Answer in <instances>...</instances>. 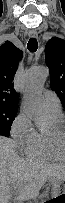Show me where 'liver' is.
<instances>
[{"instance_id":"obj_1","label":"liver","mask_w":65,"mask_h":203,"mask_svg":"<svg viewBox=\"0 0 65 203\" xmlns=\"http://www.w3.org/2000/svg\"><path fill=\"white\" fill-rule=\"evenodd\" d=\"M58 173L63 175L61 167L18 156L13 151L11 141L1 138L0 180L2 195L17 190L23 198L32 197L45 177L52 178Z\"/></svg>"}]
</instances>
